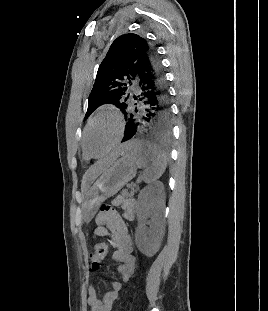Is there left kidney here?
I'll list each match as a JSON object with an SVG mask.
<instances>
[{
    "instance_id": "5707ae66",
    "label": "left kidney",
    "mask_w": 268,
    "mask_h": 311,
    "mask_svg": "<svg viewBox=\"0 0 268 311\" xmlns=\"http://www.w3.org/2000/svg\"><path fill=\"white\" fill-rule=\"evenodd\" d=\"M164 207V186L161 182H156L140 192L135 243L139 251L148 257L155 255L161 245L164 235Z\"/></svg>"
}]
</instances>
